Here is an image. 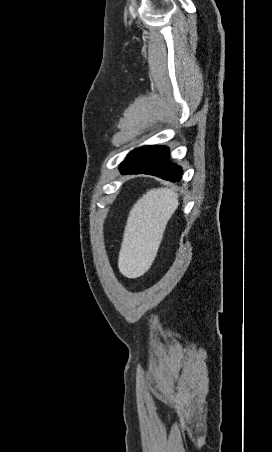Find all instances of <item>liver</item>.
<instances>
[{
    "mask_svg": "<svg viewBox=\"0 0 272 452\" xmlns=\"http://www.w3.org/2000/svg\"><path fill=\"white\" fill-rule=\"evenodd\" d=\"M178 205V194L169 188L151 189L133 205L118 258V268L125 277L135 279L149 270Z\"/></svg>",
    "mask_w": 272,
    "mask_h": 452,
    "instance_id": "liver-1",
    "label": "liver"
}]
</instances>
